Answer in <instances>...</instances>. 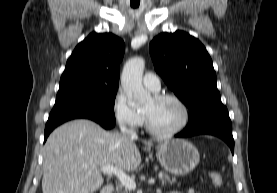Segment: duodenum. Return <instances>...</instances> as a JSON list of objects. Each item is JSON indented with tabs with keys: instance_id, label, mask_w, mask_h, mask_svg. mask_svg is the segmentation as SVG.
<instances>
[{
	"instance_id": "410a0bca",
	"label": "duodenum",
	"mask_w": 277,
	"mask_h": 193,
	"mask_svg": "<svg viewBox=\"0 0 277 193\" xmlns=\"http://www.w3.org/2000/svg\"><path fill=\"white\" fill-rule=\"evenodd\" d=\"M114 192V186L111 184L105 185L100 193H113Z\"/></svg>"
}]
</instances>
